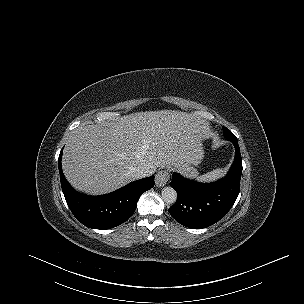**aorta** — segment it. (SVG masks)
I'll return each mask as SVG.
<instances>
[{
	"instance_id": "1",
	"label": "aorta",
	"mask_w": 304,
	"mask_h": 304,
	"mask_svg": "<svg viewBox=\"0 0 304 304\" xmlns=\"http://www.w3.org/2000/svg\"><path fill=\"white\" fill-rule=\"evenodd\" d=\"M162 199L166 204H174L177 200V192L172 187H164L162 190Z\"/></svg>"
}]
</instances>
